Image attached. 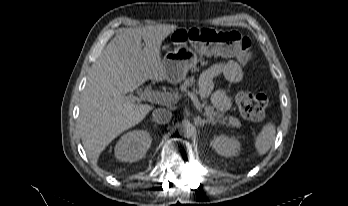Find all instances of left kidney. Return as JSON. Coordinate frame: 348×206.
Returning a JSON list of instances; mask_svg holds the SVG:
<instances>
[{"label":"left kidney","instance_id":"1","mask_svg":"<svg viewBox=\"0 0 348 206\" xmlns=\"http://www.w3.org/2000/svg\"><path fill=\"white\" fill-rule=\"evenodd\" d=\"M210 145L219 154L225 157L235 156L240 150V142L234 136L220 135L215 137Z\"/></svg>","mask_w":348,"mask_h":206}]
</instances>
